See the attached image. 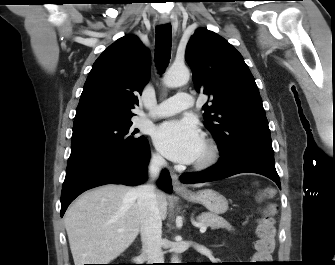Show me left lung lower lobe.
I'll list each match as a JSON object with an SVG mask.
<instances>
[{"mask_svg":"<svg viewBox=\"0 0 335 265\" xmlns=\"http://www.w3.org/2000/svg\"><path fill=\"white\" fill-rule=\"evenodd\" d=\"M246 172L266 176L273 180L281 189L274 156L250 148L237 149L222 155L216 165L199 173L181 175L180 180L185 184L203 183Z\"/></svg>","mask_w":335,"mask_h":265,"instance_id":"1","label":"left lung lower lobe"}]
</instances>
